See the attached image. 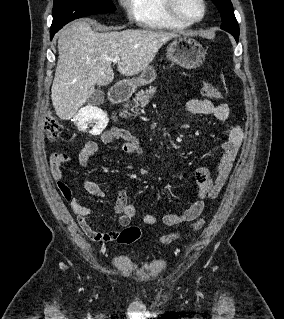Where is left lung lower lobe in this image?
<instances>
[{
    "label": "left lung lower lobe",
    "instance_id": "0a47b994",
    "mask_svg": "<svg viewBox=\"0 0 284 319\" xmlns=\"http://www.w3.org/2000/svg\"><path fill=\"white\" fill-rule=\"evenodd\" d=\"M234 38H235L236 42H238L239 36H234Z\"/></svg>",
    "mask_w": 284,
    "mask_h": 319
}]
</instances>
